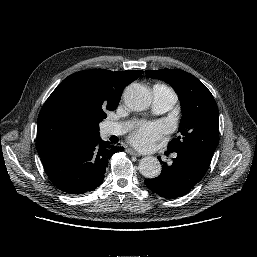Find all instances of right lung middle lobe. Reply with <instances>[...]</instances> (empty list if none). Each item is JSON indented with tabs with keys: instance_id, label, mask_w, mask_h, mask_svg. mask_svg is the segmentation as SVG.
Wrapping results in <instances>:
<instances>
[{
	"instance_id": "1",
	"label": "right lung middle lobe",
	"mask_w": 257,
	"mask_h": 257,
	"mask_svg": "<svg viewBox=\"0 0 257 257\" xmlns=\"http://www.w3.org/2000/svg\"><path fill=\"white\" fill-rule=\"evenodd\" d=\"M117 106L112 107V108H108V107H97L94 108L91 111V117L95 123V125L97 126V129L99 131V122H101L103 119H105L107 117L106 112L107 110H115Z\"/></svg>"
}]
</instances>
